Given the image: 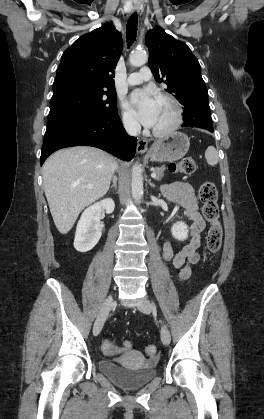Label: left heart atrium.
Returning <instances> with one entry per match:
<instances>
[{
	"label": "left heart atrium",
	"instance_id": "39dd6f15",
	"mask_svg": "<svg viewBox=\"0 0 264 419\" xmlns=\"http://www.w3.org/2000/svg\"><path fill=\"white\" fill-rule=\"evenodd\" d=\"M130 102L141 123L153 127L158 115V98L149 90L141 89L131 94Z\"/></svg>",
	"mask_w": 264,
	"mask_h": 419
}]
</instances>
